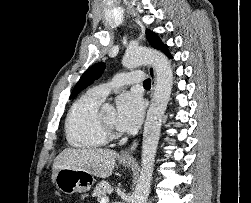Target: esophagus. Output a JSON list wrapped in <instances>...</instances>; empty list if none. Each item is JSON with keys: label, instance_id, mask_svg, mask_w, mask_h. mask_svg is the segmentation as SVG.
<instances>
[{"label": "esophagus", "instance_id": "34e87169", "mask_svg": "<svg viewBox=\"0 0 251 203\" xmlns=\"http://www.w3.org/2000/svg\"><path fill=\"white\" fill-rule=\"evenodd\" d=\"M148 74H149L151 81H152L150 95H149L150 98H152L154 88H155V83H156V73H155L154 67L151 65L148 66ZM138 144H139V139H135L133 141V143L131 144V146L121 154V158L122 159H132L133 153L136 150V148L138 147Z\"/></svg>", "mask_w": 251, "mask_h": 203}]
</instances>
